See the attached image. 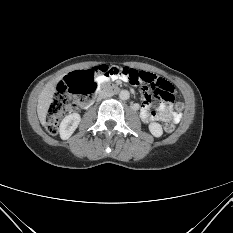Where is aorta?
Returning <instances> with one entry per match:
<instances>
[{"instance_id":"aorta-1","label":"aorta","mask_w":233,"mask_h":233,"mask_svg":"<svg viewBox=\"0 0 233 233\" xmlns=\"http://www.w3.org/2000/svg\"><path fill=\"white\" fill-rule=\"evenodd\" d=\"M130 97V93L129 91L127 90H122L120 93H119V98L122 99V100H128Z\"/></svg>"}]
</instances>
